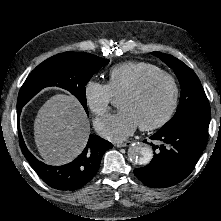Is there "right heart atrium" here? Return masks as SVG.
Here are the masks:
<instances>
[{
	"instance_id": "d8ad5b80",
	"label": "right heart atrium",
	"mask_w": 221,
	"mask_h": 221,
	"mask_svg": "<svg viewBox=\"0 0 221 221\" xmlns=\"http://www.w3.org/2000/svg\"><path fill=\"white\" fill-rule=\"evenodd\" d=\"M85 101L94 115L104 116L111 108L113 94L109 86L95 79H89L83 89Z\"/></svg>"
}]
</instances>
